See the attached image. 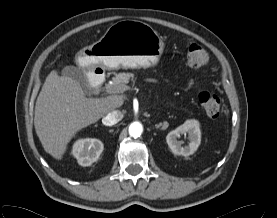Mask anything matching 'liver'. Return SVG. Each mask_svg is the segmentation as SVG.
<instances>
[{
    "instance_id": "liver-1",
    "label": "liver",
    "mask_w": 277,
    "mask_h": 218,
    "mask_svg": "<svg viewBox=\"0 0 277 218\" xmlns=\"http://www.w3.org/2000/svg\"><path fill=\"white\" fill-rule=\"evenodd\" d=\"M123 104V97L87 98L80 84L53 70L37 97L34 126L44 150L61 159L72 137Z\"/></svg>"
}]
</instances>
